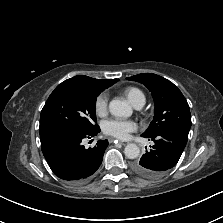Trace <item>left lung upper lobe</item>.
<instances>
[{"instance_id": "5c2ea615", "label": "left lung upper lobe", "mask_w": 223, "mask_h": 223, "mask_svg": "<svg viewBox=\"0 0 223 223\" xmlns=\"http://www.w3.org/2000/svg\"><path fill=\"white\" fill-rule=\"evenodd\" d=\"M127 79L144 84L154 99V118L143 136H156L166 130L189 133L191 127L189 105L177 86L153 73L138 74Z\"/></svg>"}]
</instances>
